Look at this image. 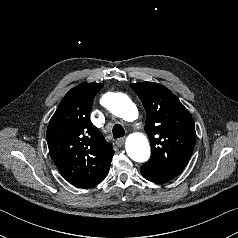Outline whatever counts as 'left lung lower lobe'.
Listing matches in <instances>:
<instances>
[{"label":"left lung lower lobe","mask_w":238,"mask_h":238,"mask_svg":"<svg viewBox=\"0 0 238 238\" xmlns=\"http://www.w3.org/2000/svg\"><path fill=\"white\" fill-rule=\"evenodd\" d=\"M140 171L145 179L155 183H166L181 173V171L158 167L148 162L143 164Z\"/></svg>","instance_id":"obj_1"}]
</instances>
